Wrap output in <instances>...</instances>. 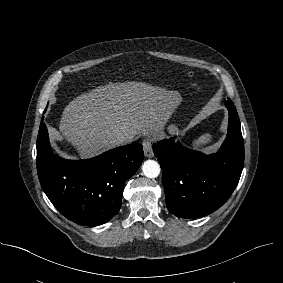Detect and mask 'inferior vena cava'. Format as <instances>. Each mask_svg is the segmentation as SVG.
Instances as JSON below:
<instances>
[{
    "mask_svg": "<svg viewBox=\"0 0 283 283\" xmlns=\"http://www.w3.org/2000/svg\"><path fill=\"white\" fill-rule=\"evenodd\" d=\"M132 140L133 138L128 135L120 134L113 139V144L116 146L125 145L130 143Z\"/></svg>",
    "mask_w": 283,
    "mask_h": 283,
    "instance_id": "inferior-vena-cava-1",
    "label": "inferior vena cava"
}]
</instances>
